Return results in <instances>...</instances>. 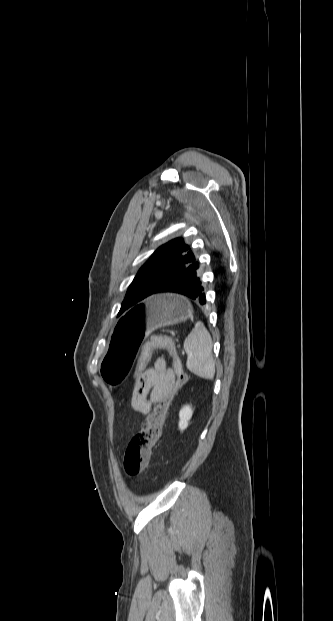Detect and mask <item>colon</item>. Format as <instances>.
<instances>
[{
    "instance_id": "colon-1",
    "label": "colon",
    "mask_w": 333,
    "mask_h": 621,
    "mask_svg": "<svg viewBox=\"0 0 333 621\" xmlns=\"http://www.w3.org/2000/svg\"><path fill=\"white\" fill-rule=\"evenodd\" d=\"M160 348L169 351L177 381L175 388L154 408L147 427L136 433L126 448L123 465L126 474L130 477L138 476L147 468L152 450L160 437L165 415L172 396L176 390L185 385L188 380L174 343L168 337L155 336L151 338L142 349L134 373L135 385L145 372L153 352Z\"/></svg>"
}]
</instances>
